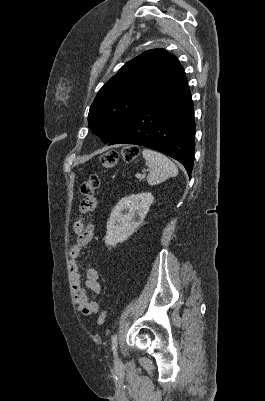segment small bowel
<instances>
[{
	"label": "small bowel",
	"mask_w": 265,
	"mask_h": 401,
	"mask_svg": "<svg viewBox=\"0 0 265 401\" xmlns=\"http://www.w3.org/2000/svg\"><path fill=\"white\" fill-rule=\"evenodd\" d=\"M96 209L97 200L95 197H88L80 202L79 211L81 215L73 224V232L77 238L69 250L72 294L78 311L85 316L98 312L99 304L95 301V297L100 295L102 291L98 270L92 267L88 268L85 274V281L82 283L78 265V258L81 255L82 248L91 242L94 235L93 224L89 223L85 225L82 216L92 213ZM86 289L92 292L93 299L88 298Z\"/></svg>",
	"instance_id": "obj_1"
}]
</instances>
